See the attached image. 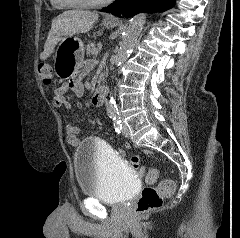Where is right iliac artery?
<instances>
[{"instance_id":"right-iliac-artery-1","label":"right iliac artery","mask_w":240,"mask_h":238,"mask_svg":"<svg viewBox=\"0 0 240 238\" xmlns=\"http://www.w3.org/2000/svg\"><path fill=\"white\" fill-rule=\"evenodd\" d=\"M113 124H114L115 131L117 133H120L122 129L120 117H113Z\"/></svg>"}]
</instances>
